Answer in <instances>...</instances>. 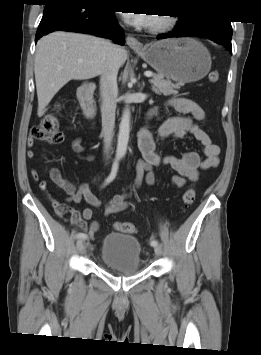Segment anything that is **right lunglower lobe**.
<instances>
[{
	"label": "right lung lower lobe",
	"mask_w": 261,
	"mask_h": 355,
	"mask_svg": "<svg viewBox=\"0 0 261 355\" xmlns=\"http://www.w3.org/2000/svg\"><path fill=\"white\" fill-rule=\"evenodd\" d=\"M54 31H70L104 36L123 45V30L118 26L114 11L85 0H53L45 2L42 20L35 42Z\"/></svg>",
	"instance_id": "right-lung-lower-lobe-1"
}]
</instances>
